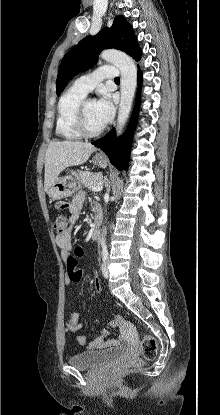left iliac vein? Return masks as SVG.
<instances>
[{"mask_svg":"<svg viewBox=\"0 0 220 415\" xmlns=\"http://www.w3.org/2000/svg\"><path fill=\"white\" fill-rule=\"evenodd\" d=\"M101 271H102V274L105 278L109 277V270H108V267H107L106 263H104L102 265Z\"/></svg>","mask_w":220,"mask_h":415,"instance_id":"left-iliac-vein-1","label":"left iliac vein"}]
</instances>
